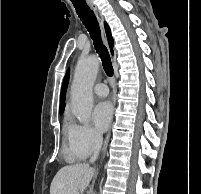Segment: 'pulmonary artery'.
Returning a JSON list of instances; mask_svg holds the SVG:
<instances>
[{
  "mask_svg": "<svg viewBox=\"0 0 201 194\" xmlns=\"http://www.w3.org/2000/svg\"><path fill=\"white\" fill-rule=\"evenodd\" d=\"M93 92L95 95H97L98 97H106L108 95V87L106 84L104 83H97L94 87H93Z\"/></svg>",
  "mask_w": 201,
  "mask_h": 194,
  "instance_id": "1",
  "label": "pulmonary artery"
}]
</instances>
